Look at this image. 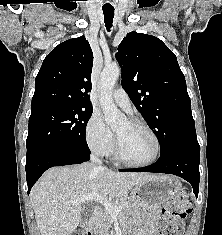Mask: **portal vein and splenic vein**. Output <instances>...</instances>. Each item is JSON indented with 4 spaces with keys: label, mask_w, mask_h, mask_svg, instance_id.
Wrapping results in <instances>:
<instances>
[{
    "label": "portal vein and splenic vein",
    "mask_w": 222,
    "mask_h": 235,
    "mask_svg": "<svg viewBox=\"0 0 222 235\" xmlns=\"http://www.w3.org/2000/svg\"><path fill=\"white\" fill-rule=\"evenodd\" d=\"M78 200L82 202L92 200V201L102 204L105 207V209L108 211L111 217L118 216L121 210V206L113 205L112 202H110L107 198L99 195L96 192H92L87 195H82L78 198Z\"/></svg>",
    "instance_id": "18ae733b"
}]
</instances>
